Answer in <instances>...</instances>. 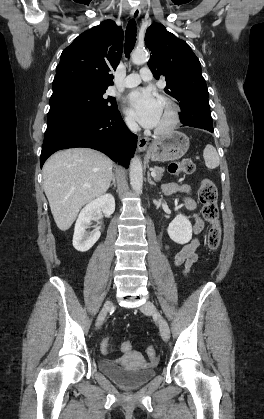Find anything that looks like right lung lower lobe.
<instances>
[{
  "label": "right lung lower lobe",
  "mask_w": 264,
  "mask_h": 419,
  "mask_svg": "<svg viewBox=\"0 0 264 419\" xmlns=\"http://www.w3.org/2000/svg\"><path fill=\"white\" fill-rule=\"evenodd\" d=\"M137 135L126 127L118 110L108 113L66 112L47 123L40 164L54 152L73 147L99 150L128 167Z\"/></svg>",
  "instance_id": "98d812e1"
}]
</instances>
